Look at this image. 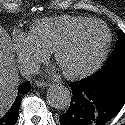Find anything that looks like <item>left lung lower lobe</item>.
<instances>
[{
  "label": "left lung lower lobe",
  "mask_w": 125,
  "mask_h": 125,
  "mask_svg": "<svg viewBox=\"0 0 125 125\" xmlns=\"http://www.w3.org/2000/svg\"><path fill=\"white\" fill-rule=\"evenodd\" d=\"M69 87L73 96L60 124L105 125L125 104V64L101 69Z\"/></svg>",
  "instance_id": "1"
}]
</instances>
